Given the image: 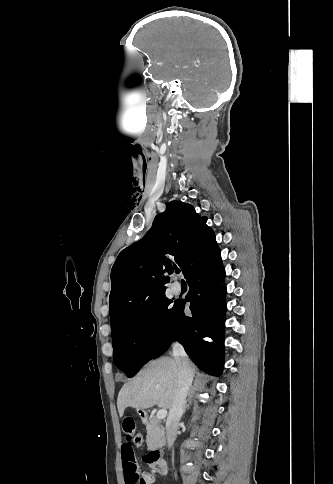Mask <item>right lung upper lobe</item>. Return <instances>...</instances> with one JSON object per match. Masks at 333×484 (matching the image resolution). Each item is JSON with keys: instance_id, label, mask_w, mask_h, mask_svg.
<instances>
[{"instance_id": "obj_1", "label": "right lung upper lobe", "mask_w": 333, "mask_h": 484, "mask_svg": "<svg viewBox=\"0 0 333 484\" xmlns=\"http://www.w3.org/2000/svg\"><path fill=\"white\" fill-rule=\"evenodd\" d=\"M218 248L213 230L188 203L172 201L146 235L122 250L111 271V330L138 308L164 296L176 264L187 279Z\"/></svg>"}]
</instances>
